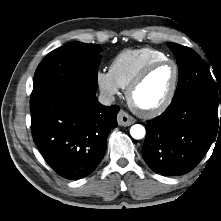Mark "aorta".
<instances>
[{"label":"aorta","mask_w":221,"mask_h":221,"mask_svg":"<svg viewBox=\"0 0 221 221\" xmlns=\"http://www.w3.org/2000/svg\"><path fill=\"white\" fill-rule=\"evenodd\" d=\"M130 134L134 139L139 140L145 136L146 130L142 125L135 124L130 128Z\"/></svg>","instance_id":"aorta-1"}]
</instances>
